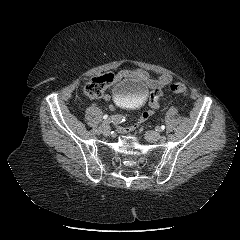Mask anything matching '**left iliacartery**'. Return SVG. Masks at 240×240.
<instances>
[{"label":"left iliac artery","mask_w":240,"mask_h":240,"mask_svg":"<svg viewBox=\"0 0 240 240\" xmlns=\"http://www.w3.org/2000/svg\"><path fill=\"white\" fill-rule=\"evenodd\" d=\"M170 135V132L168 130L162 131L161 133H159V138L160 140H165L166 137H168Z\"/></svg>","instance_id":"44dca946"}]
</instances>
